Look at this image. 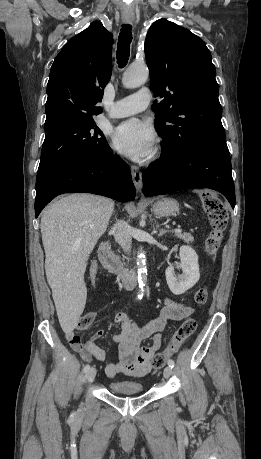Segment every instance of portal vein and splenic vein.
Instances as JSON below:
<instances>
[{"mask_svg":"<svg viewBox=\"0 0 261 459\" xmlns=\"http://www.w3.org/2000/svg\"><path fill=\"white\" fill-rule=\"evenodd\" d=\"M174 231H175L176 233H181V232H182V229H181L180 227H178V228H176Z\"/></svg>","mask_w":261,"mask_h":459,"instance_id":"obj_1","label":"portal vein and splenic vein"}]
</instances>
